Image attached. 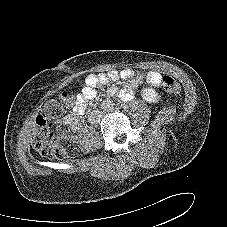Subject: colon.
I'll return each instance as SVG.
<instances>
[{
	"label": "colon",
	"instance_id": "obj_1",
	"mask_svg": "<svg viewBox=\"0 0 227 227\" xmlns=\"http://www.w3.org/2000/svg\"><path fill=\"white\" fill-rule=\"evenodd\" d=\"M167 94L176 95L180 92V85L171 76H164L161 81ZM69 95H62L60 101L46 102L36 118L32 145L41 155L47 157H73L78 153V147L66 125H61L57 130H51L47 119L60 118L64 114L63 103H71Z\"/></svg>",
	"mask_w": 227,
	"mask_h": 227
}]
</instances>
